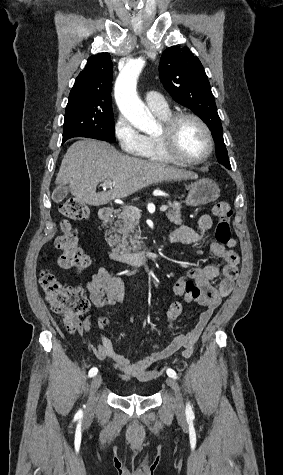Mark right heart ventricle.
Returning <instances> with one entry per match:
<instances>
[{
	"label": "right heart ventricle",
	"instance_id": "1",
	"mask_svg": "<svg viewBox=\"0 0 283 475\" xmlns=\"http://www.w3.org/2000/svg\"><path fill=\"white\" fill-rule=\"evenodd\" d=\"M153 113L160 119L163 123L172 115V112L169 108L166 110H156ZM147 147L145 152V158L152 161H162L163 159L158 151V135H148L146 137Z\"/></svg>",
	"mask_w": 283,
	"mask_h": 475
}]
</instances>
